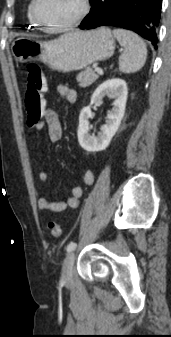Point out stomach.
I'll use <instances>...</instances> for the list:
<instances>
[{
    "instance_id": "obj_1",
    "label": "stomach",
    "mask_w": 171,
    "mask_h": 337,
    "mask_svg": "<svg viewBox=\"0 0 171 337\" xmlns=\"http://www.w3.org/2000/svg\"><path fill=\"white\" fill-rule=\"evenodd\" d=\"M114 50L115 39L107 27L67 33L52 41L19 38L11 46L17 61L40 60L60 72L80 70L95 61L108 59Z\"/></svg>"
}]
</instances>
